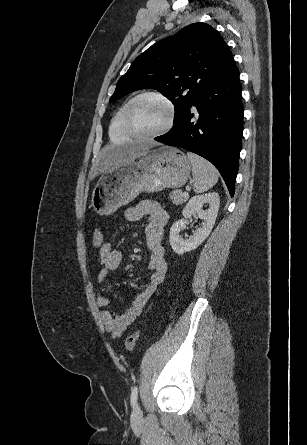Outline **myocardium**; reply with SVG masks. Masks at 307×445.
<instances>
[{
    "instance_id": "f54148a6",
    "label": "myocardium",
    "mask_w": 307,
    "mask_h": 445,
    "mask_svg": "<svg viewBox=\"0 0 307 445\" xmlns=\"http://www.w3.org/2000/svg\"><path fill=\"white\" fill-rule=\"evenodd\" d=\"M148 98H154L161 101L168 110V118L166 123L159 130L155 132H141L140 130L137 129V127L133 123L132 113L135 105L138 102ZM175 120H176V108L173 102L166 95L153 91H147L137 95L130 101L125 112V124L127 131L131 136L135 137L136 139H159L160 137L164 136L171 130V128L175 123Z\"/></svg>"
}]
</instances>
